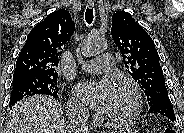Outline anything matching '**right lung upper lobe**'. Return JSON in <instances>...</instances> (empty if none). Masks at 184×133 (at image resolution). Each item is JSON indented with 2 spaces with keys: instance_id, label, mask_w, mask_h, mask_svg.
Masks as SVG:
<instances>
[{
  "instance_id": "obj_1",
  "label": "right lung upper lobe",
  "mask_w": 184,
  "mask_h": 133,
  "mask_svg": "<svg viewBox=\"0 0 184 133\" xmlns=\"http://www.w3.org/2000/svg\"><path fill=\"white\" fill-rule=\"evenodd\" d=\"M75 23L65 9L49 14L28 35L16 62L13 78L21 76H58L60 50L70 39Z\"/></svg>"
}]
</instances>
